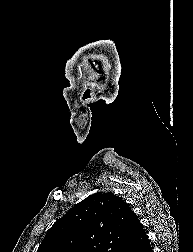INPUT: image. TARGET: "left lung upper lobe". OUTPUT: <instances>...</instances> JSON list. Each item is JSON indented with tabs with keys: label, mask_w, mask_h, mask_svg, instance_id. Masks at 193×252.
I'll use <instances>...</instances> for the list:
<instances>
[{
	"label": "left lung upper lobe",
	"mask_w": 193,
	"mask_h": 252,
	"mask_svg": "<svg viewBox=\"0 0 193 252\" xmlns=\"http://www.w3.org/2000/svg\"><path fill=\"white\" fill-rule=\"evenodd\" d=\"M139 223L124 200L98 192L57 221L37 252H123Z\"/></svg>",
	"instance_id": "1"
}]
</instances>
